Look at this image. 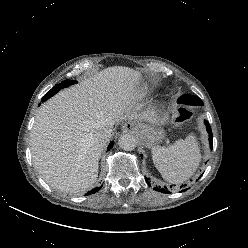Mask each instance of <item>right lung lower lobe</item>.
I'll return each instance as SVG.
<instances>
[{
	"instance_id": "1",
	"label": "right lung lower lobe",
	"mask_w": 248,
	"mask_h": 248,
	"mask_svg": "<svg viewBox=\"0 0 248 248\" xmlns=\"http://www.w3.org/2000/svg\"><path fill=\"white\" fill-rule=\"evenodd\" d=\"M112 146H113V143L111 142V143L109 144L107 150H110V149L112 148ZM100 188H101V187L95 188V189H93L92 191L88 192L86 195L93 194V193L97 192Z\"/></svg>"
}]
</instances>
